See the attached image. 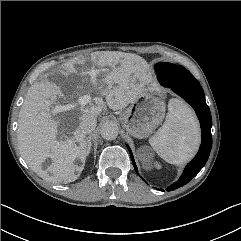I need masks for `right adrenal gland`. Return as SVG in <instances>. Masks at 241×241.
Wrapping results in <instances>:
<instances>
[{
    "instance_id": "2a0ac1e0",
    "label": "right adrenal gland",
    "mask_w": 241,
    "mask_h": 241,
    "mask_svg": "<svg viewBox=\"0 0 241 241\" xmlns=\"http://www.w3.org/2000/svg\"><path fill=\"white\" fill-rule=\"evenodd\" d=\"M86 143H87V154H89L92 147L91 136L86 137Z\"/></svg>"
}]
</instances>
